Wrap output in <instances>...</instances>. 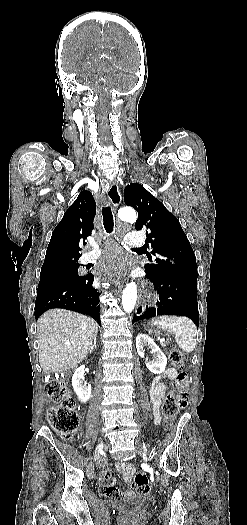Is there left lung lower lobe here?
Here are the masks:
<instances>
[{"mask_svg":"<svg viewBox=\"0 0 247 525\" xmlns=\"http://www.w3.org/2000/svg\"><path fill=\"white\" fill-rule=\"evenodd\" d=\"M147 276L153 281L159 294L157 308H146L144 312L139 308L138 315L133 317L132 322L159 315H178L191 318L198 327L197 281Z\"/></svg>","mask_w":247,"mask_h":525,"instance_id":"1","label":"left lung lower lobe"}]
</instances>
